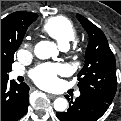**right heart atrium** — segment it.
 <instances>
[{
	"mask_svg": "<svg viewBox=\"0 0 121 121\" xmlns=\"http://www.w3.org/2000/svg\"><path fill=\"white\" fill-rule=\"evenodd\" d=\"M32 49V45L30 43H25L21 49L22 53H28Z\"/></svg>",
	"mask_w": 121,
	"mask_h": 121,
	"instance_id": "obj_1",
	"label": "right heart atrium"
}]
</instances>
